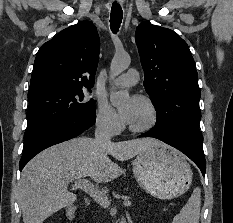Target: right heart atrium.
<instances>
[{
    "label": "right heart atrium",
    "mask_w": 233,
    "mask_h": 223,
    "mask_svg": "<svg viewBox=\"0 0 233 223\" xmlns=\"http://www.w3.org/2000/svg\"><path fill=\"white\" fill-rule=\"evenodd\" d=\"M96 126L108 134H117L121 129V122L114 110L105 102H100L96 114Z\"/></svg>",
    "instance_id": "1"
}]
</instances>
